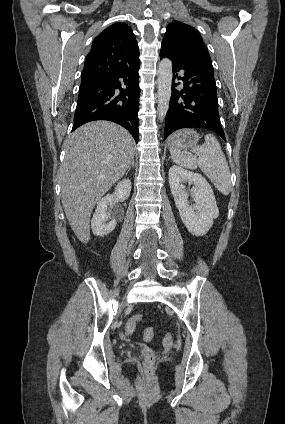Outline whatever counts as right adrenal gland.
<instances>
[{"label":"right adrenal gland","mask_w":285,"mask_h":424,"mask_svg":"<svg viewBox=\"0 0 285 424\" xmlns=\"http://www.w3.org/2000/svg\"><path fill=\"white\" fill-rule=\"evenodd\" d=\"M131 167H134V158L132 159V162H131L130 166L128 167L127 171H126V175L129 173Z\"/></svg>","instance_id":"1"}]
</instances>
